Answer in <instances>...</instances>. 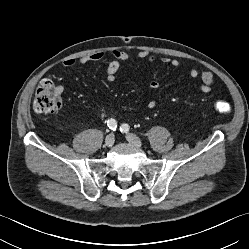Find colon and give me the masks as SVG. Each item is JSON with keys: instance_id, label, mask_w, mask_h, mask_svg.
Listing matches in <instances>:
<instances>
[{"instance_id": "obj_1", "label": "colon", "mask_w": 249, "mask_h": 249, "mask_svg": "<svg viewBox=\"0 0 249 249\" xmlns=\"http://www.w3.org/2000/svg\"><path fill=\"white\" fill-rule=\"evenodd\" d=\"M60 88L55 85L52 79L44 78L40 81L33 100V108L42 114H55L62 108ZM217 112L227 114L230 112V105L222 100L214 103Z\"/></svg>"}]
</instances>
